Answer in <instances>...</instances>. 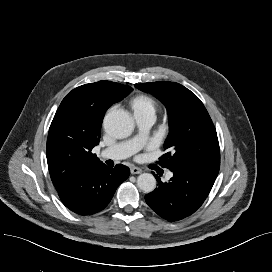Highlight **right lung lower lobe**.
Masks as SVG:
<instances>
[{
	"instance_id": "98d812e1",
	"label": "right lung lower lobe",
	"mask_w": 272,
	"mask_h": 272,
	"mask_svg": "<svg viewBox=\"0 0 272 272\" xmlns=\"http://www.w3.org/2000/svg\"><path fill=\"white\" fill-rule=\"evenodd\" d=\"M128 167L101 165L83 174L80 180L58 192L63 204L80 215H92L103 210L111 201L117 187L129 176Z\"/></svg>"
}]
</instances>
